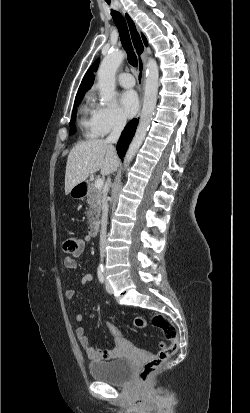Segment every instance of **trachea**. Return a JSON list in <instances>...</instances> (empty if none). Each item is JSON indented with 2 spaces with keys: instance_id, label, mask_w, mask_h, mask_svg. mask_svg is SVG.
I'll return each mask as SVG.
<instances>
[{
  "instance_id": "obj_1",
  "label": "trachea",
  "mask_w": 250,
  "mask_h": 413,
  "mask_svg": "<svg viewBox=\"0 0 250 413\" xmlns=\"http://www.w3.org/2000/svg\"><path fill=\"white\" fill-rule=\"evenodd\" d=\"M111 15L113 17L116 27L118 28L122 46L127 53L128 62L132 67L137 68L138 60L133 51L126 21L118 11L111 10Z\"/></svg>"
}]
</instances>
